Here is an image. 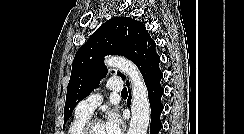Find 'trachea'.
I'll use <instances>...</instances> for the list:
<instances>
[{
    "instance_id": "1",
    "label": "trachea",
    "mask_w": 244,
    "mask_h": 134,
    "mask_svg": "<svg viewBox=\"0 0 244 134\" xmlns=\"http://www.w3.org/2000/svg\"><path fill=\"white\" fill-rule=\"evenodd\" d=\"M122 96L128 95L127 89L124 88L121 93Z\"/></svg>"
}]
</instances>
